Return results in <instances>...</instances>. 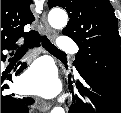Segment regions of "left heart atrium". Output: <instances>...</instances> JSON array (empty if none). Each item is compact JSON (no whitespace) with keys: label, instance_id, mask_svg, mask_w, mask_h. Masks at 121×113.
<instances>
[{"label":"left heart atrium","instance_id":"39dd6f15","mask_svg":"<svg viewBox=\"0 0 121 113\" xmlns=\"http://www.w3.org/2000/svg\"><path fill=\"white\" fill-rule=\"evenodd\" d=\"M23 87L44 96L57 94L59 81L55 69L46 62L36 63L25 75Z\"/></svg>","mask_w":121,"mask_h":113}]
</instances>
